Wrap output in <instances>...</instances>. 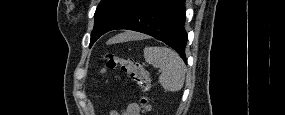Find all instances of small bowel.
I'll use <instances>...</instances> for the list:
<instances>
[{"instance_id":"obj_1","label":"small bowel","mask_w":285,"mask_h":115,"mask_svg":"<svg viewBox=\"0 0 285 115\" xmlns=\"http://www.w3.org/2000/svg\"><path fill=\"white\" fill-rule=\"evenodd\" d=\"M111 115H118L119 113L116 111H111ZM123 115H139L140 114V107L137 103H131L127 106V108L122 112Z\"/></svg>"}]
</instances>
